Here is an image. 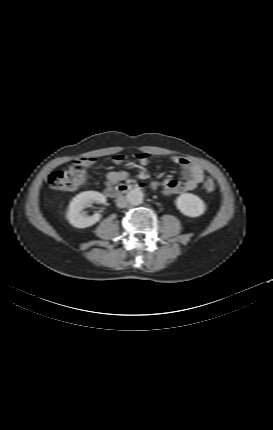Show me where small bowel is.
I'll list each match as a JSON object with an SVG mask.
<instances>
[{
  "label": "small bowel",
  "mask_w": 273,
  "mask_h": 430,
  "mask_svg": "<svg viewBox=\"0 0 273 430\" xmlns=\"http://www.w3.org/2000/svg\"><path fill=\"white\" fill-rule=\"evenodd\" d=\"M125 160V156L118 154L112 157V162L115 166H120ZM173 163L179 166L184 181H178L175 179H165L162 182H153L152 187L157 189L162 187L163 194L170 196L173 194H180L186 191L195 189L198 184H200L204 177V170L199 164L193 163L186 158L180 156H171ZM137 161L141 166H147L150 163V155L148 153L142 152L137 154ZM94 163V159L88 157L80 158V165L88 166ZM128 177V172L125 170L120 171H109L105 175L106 183L108 185H113L118 182L126 180Z\"/></svg>",
  "instance_id": "small-bowel-1"
}]
</instances>
